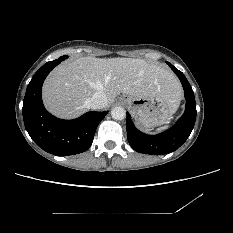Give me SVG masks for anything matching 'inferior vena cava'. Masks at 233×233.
Returning a JSON list of instances; mask_svg holds the SVG:
<instances>
[{
    "label": "inferior vena cava",
    "mask_w": 233,
    "mask_h": 233,
    "mask_svg": "<svg viewBox=\"0 0 233 233\" xmlns=\"http://www.w3.org/2000/svg\"><path fill=\"white\" fill-rule=\"evenodd\" d=\"M108 99L103 92H95L93 96L85 102V105L92 109H101L107 106Z\"/></svg>",
    "instance_id": "obj_1"
}]
</instances>
